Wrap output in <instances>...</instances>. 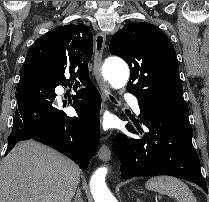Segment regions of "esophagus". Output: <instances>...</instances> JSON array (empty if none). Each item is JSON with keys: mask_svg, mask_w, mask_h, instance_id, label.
Listing matches in <instances>:
<instances>
[{"mask_svg": "<svg viewBox=\"0 0 209 202\" xmlns=\"http://www.w3.org/2000/svg\"><path fill=\"white\" fill-rule=\"evenodd\" d=\"M94 66L96 71V77L101 87L108 89L107 83L103 80L101 76V65H102V57L103 52L106 47V36L102 32H98L94 38ZM111 157V151L107 145H102L98 151V158L103 161H109Z\"/></svg>", "mask_w": 209, "mask_h": 202, "instance_id": "34e87169", "label": "esophagus"}]
</instances>
